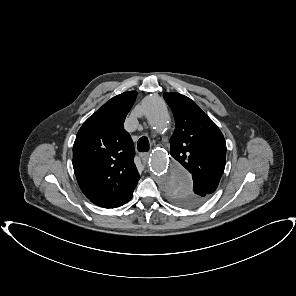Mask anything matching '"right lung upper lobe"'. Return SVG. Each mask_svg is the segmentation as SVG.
I'll use <instances>...</instances> for the list:
<instances>
[{"label": "right lung upper lobe", "mask_w": 296, "mask_h": 296, "mask_svg": "<svg viewBox=\"0 0 296 296\" xmlns=\"http://www.w3.org/2000/svg\"><path fill=\"white\" fill-rule=\"evenodd\" d=\"M137 93L125 92L89 117L73 145V168L84 195L95 205L115 208L127 203L140 179L134 145L123 123Z\"/></svg>", "instance_id": "right-lung-upper-lobe-1"}]
</instances>
